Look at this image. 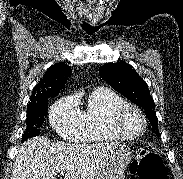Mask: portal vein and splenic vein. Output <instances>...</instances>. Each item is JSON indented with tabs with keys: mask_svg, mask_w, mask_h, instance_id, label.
Listing matches in <instances>:
<instances>
[{
	"mask_svg": "<svg viewBox=\"0 0 183 179\" xmlns=\"http://www.w3.org/2000/svg\"><path fill=\"white\" fill-rule=\"evenodd\" d=\"M61 175H65V172H60Z\"/></svg>",
	"mask_w": 183,
	"mask_h": 179,
	"instance_id": "18ae733b",
	"label": "portal vein and splenic vein"
}]
</instances>
